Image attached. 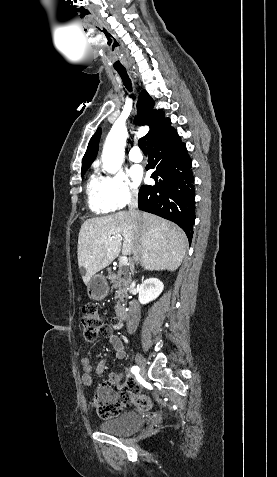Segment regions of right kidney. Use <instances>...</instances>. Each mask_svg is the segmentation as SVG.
Listing matches in <instances>:
<instances>
[{
  "instance_id": "obj_1",
  "label": "right kidney",
  "mask_w": 277,
  "mask_h": 477,
  "mask_svg": "<svg viewBox=\"0 0 277 477\" xmlns=\"http://www.w3.org/2000/svg\"><path fill=\"white\" fill-rule=\"evenodd\" d=\"M163 289L164 285L159 279H146L139 287V302L146 304L155 300L162 293Z\"/></svg>"
}]
</instances>
